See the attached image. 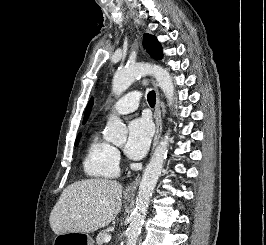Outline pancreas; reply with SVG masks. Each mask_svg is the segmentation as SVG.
I'll list each match as a JSON object with an SVG mask.
<instances>
[{"label": "pancreas", "instance_id": "1", "mask_svg": "<svg viewBox=\"0 0 266 245\" xmlns=\"http://www.w3.org/2000/svg\"><path fill=\"white\" fill-rule=\"evenodd\" d=\"M106 235H110V231H108V229H106V231H100L99 235L96 237L97 245H103L104 237H106Z\"/></svg>", "mask_w": 266, "mask_h": 245}]
</instances>
